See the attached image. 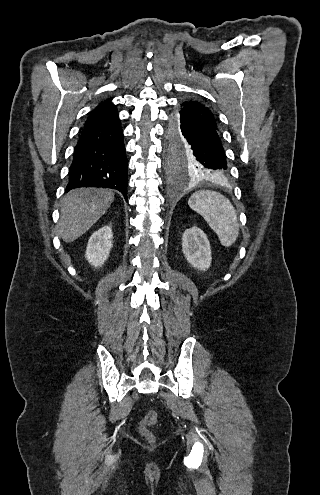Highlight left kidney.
Listing matches in <instances>:
<instances>
[{"label": "left kidney", "instance_id": "left-kidney-1", "mask_svg": "<svg viewBox=\"0 0 320 495\" xmlns=\"http://www.w3.org/2000/svg\"><path fill=\"white\" fill-rule=\"evenodd\" d=\"M182 251L195 268L205 271L211 265V247L205 233L197 228L187 229L182 236Z\"/></svg>", "mask_w": 320, "mask_h": 495}]
</instances>
